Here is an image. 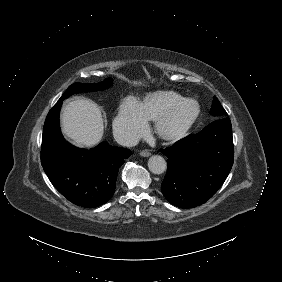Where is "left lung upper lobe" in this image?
<instances>
[{"instance_id":"left-lung-upper-lobe-1","label":"left lung upper lobe","mask_w":282,"mask_h":282,"mask_svg":"<svg viewBox=\"0 0 282 282\" xmlns=\"http://www.w3.org/2000/svg\"><path fill=\"white\" fill-rule=\"evenodd\" d=\"M211 115L217 116V117H226L227 113L224 110V108L219 103L217 97H214L213 105L210 111Z\"/></svg>"}]
</instances>
